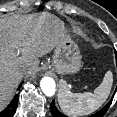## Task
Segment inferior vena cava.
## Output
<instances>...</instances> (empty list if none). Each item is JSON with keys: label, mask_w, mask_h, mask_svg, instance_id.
<instances>
[{"label": "inferior vena cava", "mask_w": 117, "mask_h": 117, "mask_svg": "<svg viewBox=\"0 0 117 117\" xmlns=\"http://www.w3.org/2000/svg\"><path fill=\"white\" fill-rule=\"evenodd\" d=\"M21 72L24 74V73L28 72V70L26 68H22Z\"/></svg>", "instance_id": "inferior-vena-cava-1"}]
</instances>
